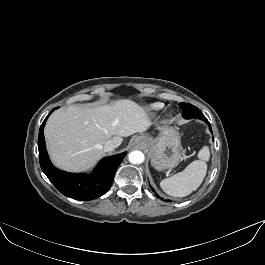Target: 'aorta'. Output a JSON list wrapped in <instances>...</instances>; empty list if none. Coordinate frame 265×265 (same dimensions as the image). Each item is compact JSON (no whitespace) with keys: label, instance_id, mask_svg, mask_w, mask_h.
Masks as SVG:
<instances>
[{"label":"aorta","instance_id":"1","mask_svg":"<svg viewBox=\"0 0 265 265\" xmlns=\"http://www.w3.org/2000/svg\"><path fill=\"white\" fill-rule=\"evenodd\" d=\"M128 159L132 164H141L145 160V156L141 151H132L128 155Z\"/></svg>","mask_w":265,"mask_h":265}]
</instances>
